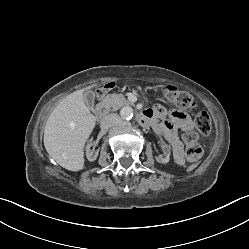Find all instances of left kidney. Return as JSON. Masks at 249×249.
<instances>
[{
  "label": "left kidney",
  "instance_id": "obj_1",
  "mask_svg": "<svg viewBox=\"0 0 249 249\" xmlns=\"http://www.w3.org/2000/svg\"><path fill=\"white\" fill-rule=\"evenodd\" d=\"M154 144L157 147V150L159 151L160 155L163 157H158L156 158L157 162L160 163H168L169 162V156H170V151L169 148L166 146V142L162 137H156L154 139Z\"/></svg>",
  "mask_w": 249,
  "mask_h": 249
}]
</instances>
